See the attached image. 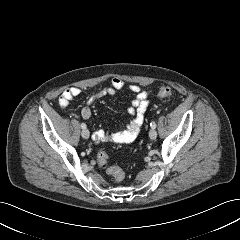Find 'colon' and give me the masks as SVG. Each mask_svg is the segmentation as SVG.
<instances>
[{"instance_id": "obj_1", "label": "colon", "mask_w": 240, "mask_h": 240, "mask_svg": "<svg viewBox=\"0 0 240 240\" xmlns=\"http://www.w3.org/2000/svg\"><path fill=\"white\" fill-rule=\"evenodd\" d=\"M157 95L161 98H170L172 95L171 88L168 86H161L157 89ZM98 165L105 169L107 173L114 179L115 182L120 183L125 178V173L119 167L110 164L109 156L105 152H99L97 155Z\"/></svg>"}]
</instances>
